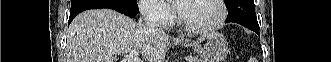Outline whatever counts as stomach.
<instances>
[{
    "mask_svg": "<svg viewBox=\"0 0 331 62\" xmlns=\"http://www.w3.org/2000/svg\"><path fill=\"white\" fill-rule=\"evenodd\" d=\"M181 44L192 47L204 62H222L229 51L226 38L218 32L202 34L195 41L183 40Z\"/></svg>",
    "mask_w": 331,
    "mask_h": 62,
    "instance_id": "0dacf381",
    "label": "stomach"
}]
</instances>
